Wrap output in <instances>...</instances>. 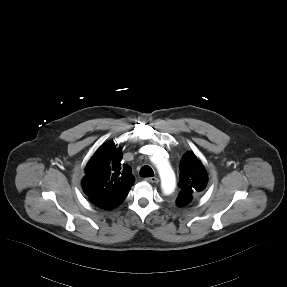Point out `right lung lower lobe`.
Segmentation results:
<instances>
[{
    "instance_id": "1",
    "label": "right lung lower lobe",
    "mask_w": 287,
    "mask_h": 287,
    "mask_svg": "<svg viewBox=\"0 0 287 287\" xmlns=\"http://www.w3.org/2000/svg\"><path fill=\"white\" fill-rule=\"evenodd\" d=\"M121 203L110 204V205H97V204H94V203L93 204L96 205L99 208H102V209H105V210H111V209H114L115 207H117L118 205H120Z\"/></svg>"
}]
</instances>
